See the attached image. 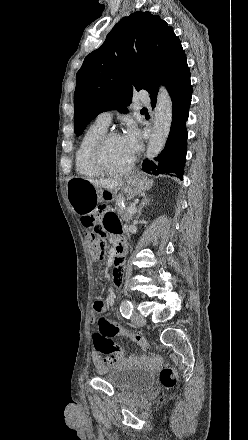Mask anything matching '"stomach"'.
Masks as SVG:
<instances>
[{
	"label": "stomach",
	"instance_id": "stomach-1",
	"mask_svg": "<svg viewBox=\"0 0 248 440\" xmlns=\"http://www.w3.org/2000/svg\"><path fill=\"white\" fill-rule=\"evenodd\" d=\"M151 187V182L140 175L127 177L118 186L111 189H102L94 186L90 181L73 177L67 181V196L76 213H84L95 206L97 201L112 202L118 197L134 198L147 191Z\"/></svg>",
	"mask_w": 248,
	"mask_h": 440
}]
</instances>
